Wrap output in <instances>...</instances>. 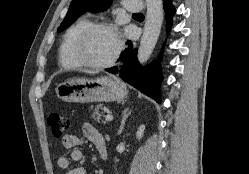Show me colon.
<instances>
[{
  "mask_svg": "<svg viewBox=\"0 0 249 174\" xmlns=\"http://www.w3.org/2000/svg\"><path fill=\"white\" fill-rule=\"evenodd\" d=\"M47 123L53 136L57 138L64 136L70 128L69 119L56 111H52L48 114Z\"/></svg>",
  "mask_w": 249,
  "mask_h": 174,
  "instance_id": "colon-1",
  "label": "colon"
}]
</instances>
